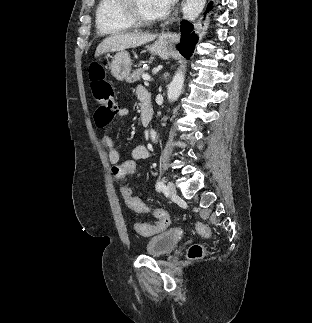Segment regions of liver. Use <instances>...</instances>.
Listing matches in <instances>:
<instances>
[{
  "instance_id": "6515ba94",
  "label": "liver",
  "mask_w": 312,
  "mask_h": 323,
  "mask_svg": "<svg viewBox=\"0 0 312 323\" xmlns=\"http://www.w3.org/2000/svg\"><path fill=\"white\" fill-rule=\"evenodd\" d=\"M155 38H157L155 34H138V32H134V34H131V32L130 34H111L97 46L95 58L107 54V52H122L126 48H137L142 44L153 42Z\"/></svg>"
}]
</instances>
